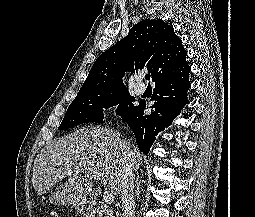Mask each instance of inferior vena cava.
<instances>
[{
    "mask_svg": "<svg viewBox=\"0 0 255 217\" xmlns=\"http://www.w3.org/2000/svg\"><path fill=\"white\" fill-rule=\"evenodd\" d=\"M121 200L123 217H135L134 177L126 154L121 160Z\"/></svg>",
    "mask_w": 255,
    "mask_h": 217,
    "instance_id": "1",
    "label": "inferior vena cava"
}]
</instances>
